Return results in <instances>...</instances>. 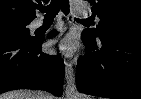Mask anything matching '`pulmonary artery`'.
Returning <instances> with one entry per match:
<instances>
[{
    "label": "pulmonary artery",
    "mask_w": 141,
    "mask_h": 99,
    "mask_svg": "<svg viewBox=\"0 0 141 99\" xmlns=\"http://www.w3.org/2000/svg\"><path fill=\"white\" fill-rule=\"evenodd\" d=\"M73 12H74V14H78V15H86L87 14V10L85 9V7L80 4L73 5ZM42 25H43V20L40 18L36 19L33 22V27L36 29L40 28Z\"/></svg>",
    "instance_id": "pulmonary-artery-1"
}]
</instances>
